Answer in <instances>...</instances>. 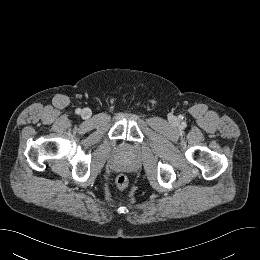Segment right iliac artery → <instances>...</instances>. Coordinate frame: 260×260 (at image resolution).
Returning <instances> with one entry per match:
<instances>
[{"label": "right iliac artery", "instance_id": "right-iliac-artery-1", "mask_svg": "<svg viewBox=\"0 0 260 260\" xmlns=\"http://www.w3.org/2000/svg\"><path fill=\"white\" fill-rule=\"evenodd\" d=\"M75 112H76V114H80L81 113V109L78 108V109L75 110Z\"/></svg>", "mask_w": 260, "mask_h": 260}]
</instances>
